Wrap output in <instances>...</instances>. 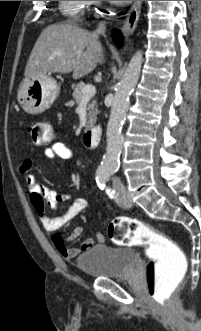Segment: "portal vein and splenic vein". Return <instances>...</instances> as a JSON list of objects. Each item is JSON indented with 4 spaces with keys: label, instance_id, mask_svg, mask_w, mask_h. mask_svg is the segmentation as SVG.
Segmentation results:
<instances>
[{
    "label": "portal vein and splenic vein",
    "instance_id": "obj_1",
    "mask_svg": "<svg viewBox=\"0 0 201 331\" xmlns=\"http://www.w3.org/2000/svg\"><path fill=\"white\" fill-rule=\"evenodd\" d=\"M96 93V88L93 85H87L82 89V98L87 99Z\"/></svg>",
    "mask_w": 201,
    "mask_h": 331
}]
</instances>
